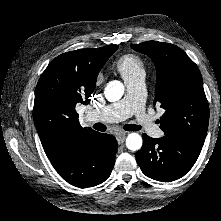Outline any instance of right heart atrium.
Returning a JSON list of instances; mask_svg holds the SVG:
<instances>
[{"mask_svg": "<svg viewBox=\"0 0 221 221\" xmlns=\"http://www.w3.org/2000/svg\"><path fill=\"white\" fill-rule=\"evenodd\" d=\"M103 81V76L101 75V74H99V75H97V77H96V84H99V83H101Z\"/></svg>", "mask_w": 221, "mask_h": 221, "instance_id": "obj_1", "label": "right heart atrium"}]
</instances>
